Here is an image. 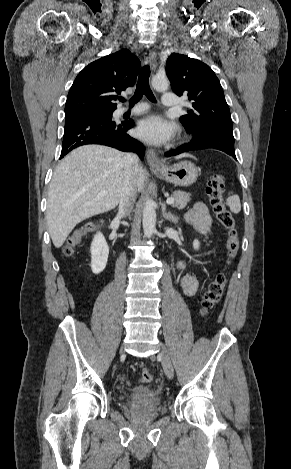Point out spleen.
<instances>
[{
  "mask_svg": "<svg viewBox=\"0 0 291 469\" xmlns=\"http://www.w3.org/2000/svg\"><path fill=\"white\" fill-rule=\"evenodd\" d=\"M226 204L229 206L231 212L235 214L239 213L241 210V203L238 195H230L226 200Z\"/></svg>",
  "mask_w": 291,
  "mask_h": 469,
  "instance_id": "spleen-1",
  "label": "spleen"
}]
</instances>
